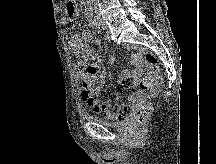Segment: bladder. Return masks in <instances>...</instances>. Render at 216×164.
Returning <instances> with one entry per match:
<instances>
[{"instance_id": "obj_1", "label": "bladder", "mask_w": 216, "mask_h": 164, "mask_svg": "<svg viewBox=\"0 0 216 164\" xmlns=\"http://www.w3.org/2000/svg\"><path fill=\"white\" fill-rule=\"evenodd\" d=\"M92 119L103 125V126H109V127H120L122 125L125 124V120L124 119H121V120H117V121H109V120H106V119H103V118H99V117H92Z\"/></svg>"}]
</instances>
